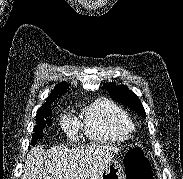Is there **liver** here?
<instances>
[{
	"mask_svg": "<svg viewBox=\"0 0 183 179\" xmlns=\"http://www.w3.org/2000/svg\"><path fill=\"white\" fill-rule=\"evenodd\" d=\"M117 153V147L101 145H60L46 153L36 145L27 155L21 179H99Z\"/></svg>",
	"mask_w": 183,
	"mask_h": 179,
	"instance_id": "1",
	"label": "liver"
}]
</instances>
